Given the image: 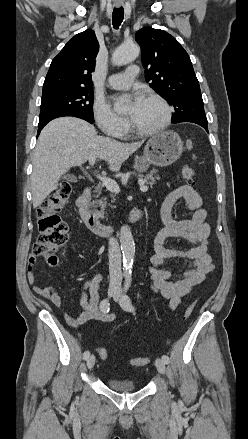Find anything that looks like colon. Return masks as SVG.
<instances>
[{
  "mask_svg": "<svg viewBox=\"0 0 248 439\" xmlns=\"http://www.w3.org/2000/svg\"><path fill=\"white\" fill-rule=\"evenodd\" d=\"M195 171L191 166H184L182 170L183 180L192 185L194 183ZM72 193V187L68 182H64L44 201L38 209V228L39 236L34 244L33 253L41 256L50 266L58 264L57 250L66 243L68 239L67 224L60 218L58 213L67 204ZM194 303H191L184 314L187 319L191 316ZM98 355L106 360L109 354L104 348L96 349ZM150 362L147 357L133 358L130 360L132 366H145Z\"/></svg>",
  "mask_w": 248,
  "mask_h": 439,
  "instance_id": "5ec220e1",
  "label": "colon"
}]
</instances>
